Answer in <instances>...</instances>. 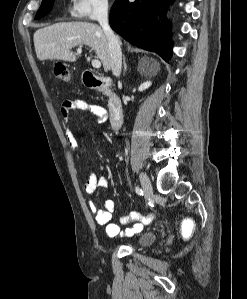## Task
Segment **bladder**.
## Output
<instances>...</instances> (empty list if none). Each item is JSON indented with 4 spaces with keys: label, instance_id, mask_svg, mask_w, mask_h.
Segmentation results:
<instances>
[{
    "label": "bladder",
    "instance_id": "obj_1",
    "mask_svg": "<svg viewBox=\"0 0 247 299\" xmlns=\"http://www.w3.org/2000/svg\"><path fill=\"white\" fill-rule=\"evenodd\" d=\"M157 234L153 231H147L142 233L137 239L136 244L139 247H147L155 242Z\"/></svg>",
    "mask_w": 247,
    "mask_h": 299
}]
</instances>
